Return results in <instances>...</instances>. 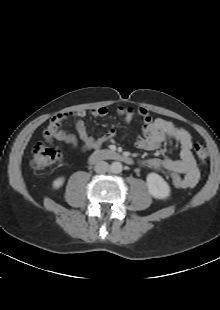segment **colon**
Listing matches in <instances>:
<instances>
[{"label": "colon", "mask_w": 220, "mask_h": 310, "mask_svg": "<svg viewBox=\"0 0 220 310\" xmlns=\"http://www.w3.org/2000/svg\"><path fill=\"white\" fill-rule=\"evenodd\" d=\"M195 154L201 163H205L208 159L207 147L201 143L194 144ZM61 159V153L55 148L48 147L43 143H36L32 147L31 166L33 169L42 170L58 163Z\"/></svg>", "instance_id": "1"}]
</instances>
